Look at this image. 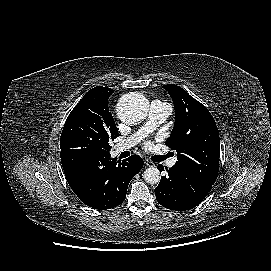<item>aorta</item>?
<instances>
[{
	"label": "aorta",
	"instance_id": "aorta-1",
	"mask_svg": "<svg viewBox=\"0 0 271 271\" xmlns=\"http://www.w3.org/2000/svg\"><path fill=\"white\" fill-rule=\"evenodd\" d=\"M148 111V104L142 95H125L121 98L118 114L122 121L135 124L143 120ZM144 180L149 184H157L160 179V171L156 167H149L143 173Z\"/></svg>",
	"mask_w": 271,
	"mask_h": 271
}]
</instances>
